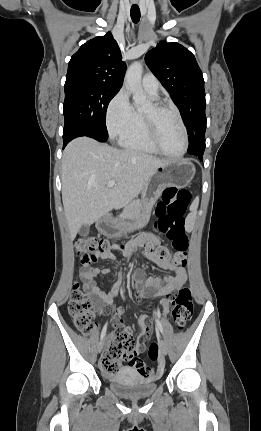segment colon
Listing matches in <instances>:
<instances>
[{
    "label": "colon",
    "mask_w": 261,
    "mask_h": 431,
    "mask_svg": "<svg viewBox=\"0 0 261 431\" xmlns=\"http://www.w3.org/2000/svg\"><path fill=\"white\" fill-rule=\"evenodd\" d=\"M191 200V194L186 189L168 187L164 190L162 201L156 209L157 220L155 228L164 235L174 249L172 254L163 245L154 247L148 245L147 250L162 260H170L178 266L187 262L189 239L184 227V214ZM75 248L83 266L95 263L97 257L109 251L110 245L104 239L95 237H81L75 241ZM124 249L123 245L119 246ZM172 308L173 323L178 331H182L193 313V299L190 288L183 287L176 293H169L166 297ZM69 314L74 326L84 334H90L94 328L92 302L89 294L78 283L73 286L68 306ZM131 336L124 332H113L108 335L102 357V367L107 373L118 370L123 361H128L132 369L140 373L142 379L155 381L164 371L165 356L160 353L159 346L153 343L149 349L150 358L157 361L152 369L149 364L137 360Z\"/></svg>",
    "instance_id": "5ec220e1"
}]
</instances>
